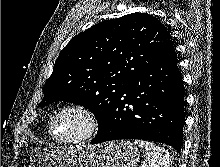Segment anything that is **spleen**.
<instances>
[{
    "label": "spleen",
    "instance_id": "3e777b00",
    "mask_svg": "<svg viewBox=\"0 0 220 167\" xmlns=\"http://www.w3.org/2000/svg\"><path fill=\"white\" fill-rule=\"evenodd\" d=\"M134 143L146 151L144 167H169L172 163V157L164 148L143 140H135Z\"/></svg>",
    "mask_w": 220,
    "mask_h": 167
}]
</instances>
